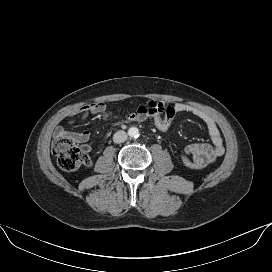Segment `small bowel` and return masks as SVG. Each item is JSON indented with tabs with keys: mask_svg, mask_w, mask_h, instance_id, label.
Instances as JSON below:
<instances>
[{
	"mask_svg": "<svg viewBox=\"0 0 272 272\" xmlns=\"http://www.w3.org/2000/svg\"><path fill=\"white\" fill-rule=\"evenodd\" d=\"M167 104L164 102L150 101L147 104L138 108L136 112L126 114L125 119L131 122H143L140 118L142 111L147 110H162ZM176 112L178 113H191L192 115L200 118L205 124L210 140V143H194L185 148V153L192 159L202 163L203 167L208 164L214 163L219 157L225 153V147L223 145V138L220 129L212 116L203 110L196 108L190 104L178 102L174 105ZM106 110V106L103 103L95 102L87 104L70 113L66 119V124L70 125L77 120L84 119L89 115L99 114ZM56 136L65 135L74 140V142L86 144L90 140V132H68L62 126H58L55 130ZM85 150H89V146H84Z\"/></svg>",
	"mask_w": 272,
	"mask_h": 272,
	"instance_id": "1",
	"label": "small bowel"
}]
</instances>
